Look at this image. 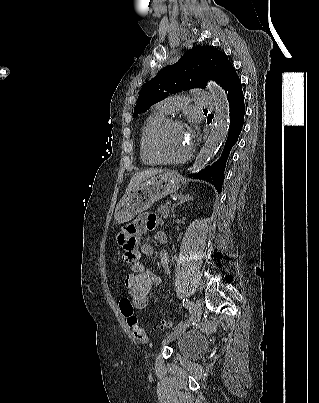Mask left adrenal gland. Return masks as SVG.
Returning a JSON list of instances; mask_svg holds the SVG:
<instances>
[{
	"label": "left adrenal gland",
	"instance_id": "left-adrenal-gland-1",
	"mask_svg": "<svg viewBox=\"0 0 319 403\" xmlns=\"http://www.w3.org/2000/svg\"><path fill=\"white\" fill-rule=\"evenodd\" d=\"M178 198H179V202L177 204L173 205V207L171 209V212H174L175 208L178 205L184 204L186 202L193 201V198L189 194H187V195L180 194V195H178Z\"/></svg>",
	"mask_w": 319,
	"mask_h": 403
}]
</instances>
